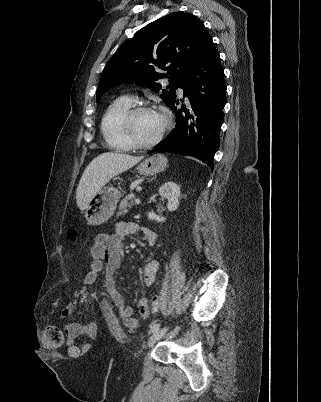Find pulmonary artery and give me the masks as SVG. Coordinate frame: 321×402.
<instances>
[{
  "mask_svg": "<svg viewBox=\"0 0 321 402\" xmlns=\"http://www.w3.org/2000/svg\"><path fill=\"white\" fill-rule=\"evenodd\" d=\"M178 91H179L180 94L183 93V89H182V88H179ZM124 98H126L127 100H129V101H131V102H133V103L135 102V99H134L133 97L125 96Z\"/></svg>",
  "mask_w": 321,
  "mask_h": 402,
  "instance_id": "obj_1",
  "label": "pulmonary artery"
}]
</instances>
